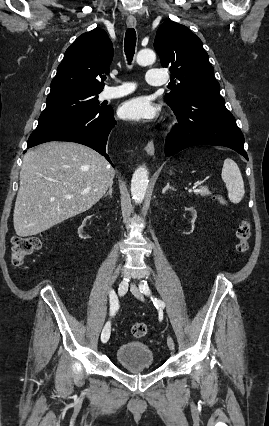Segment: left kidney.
Returning a JSON list of instances; mask_svg holds the SVG:
<instances>
[{
	"label": "left kidney",
	"mask_w": 269,
	"mask_h": 426,
	"mask_svg": "<svg viewBox=\"0 0 269 426\" xmlns=\"http://www.w3.org/2000/svg\"><path fill=\"white\" fill-rule=\"evenodd\" d=\"M185 210H186V211H189V212H190V214H191V216H192V218H191V220H190L191 228H190V229H187L186 231H184V232H183V234L189 235V234H191V233L193 232V230H194V223H195V220H196V218H197V212H196L195 208H193V207L186 208Z\"/></svg>",
	"instance_id": "obj_1"
}]
</instances>
